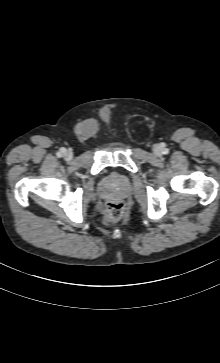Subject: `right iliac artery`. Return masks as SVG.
<instances>
[{
  "label": "right iliac artery",
  "mask_w": 220,
  "mask_h": 363,
  "mask_svg": "<svg viewBox=\"0 0 220 363\" xmlns=\"http://www.w3.org/2000/svg\"><path fill=\"white\" fill-rule=\"evenodd\" d=\"M61 151H62V152H64V151H65V149H62ZM58 156H60V153H58Z\"/></svg>",
  "instance_id": "82829eb1"
}]
</instances>
